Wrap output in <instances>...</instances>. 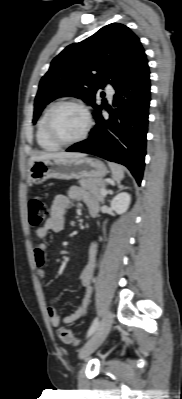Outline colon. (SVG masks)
<instances>
[{
    "label": "colon",
    "mask_w": 182,
    "mask_h": 399,
    "mask_svg": "<svg viewBox=\"0 0 182 399\" xmlns=\"http://www.w3.org/2000/svg\"><path fill=\"white\" fill-rule=\"evenodd\" d=\"M29 223L33 228H39L47 220L49 210L46 202L39 196L32 197L28 202ZM60 340L67 345H77L78 340L72 331L66 327L58 329Z\"/></svg>",
    "instance_id": "obj_1"
}]
</instances>
